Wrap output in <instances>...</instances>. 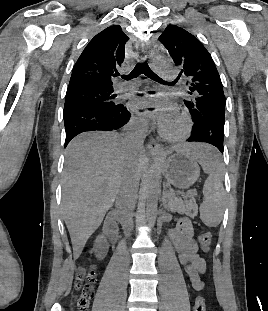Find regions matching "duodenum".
Instances as JSON below:
<instances>
[{"instance_id": "duodenum-1", "label": "duodenum", "mask_w": 268, "mask_h": 311, "mask_svg": "<svg viewBox=\"0 0 268 311\" xmlns=\"http://www.w3.org/2000/svg\"><path fill=\"white\" fill-rule=\"evenodd\" d=\"M106 229L110 234H115V222H114V220L108 221Z\"/></svg>"}]
</instances>
